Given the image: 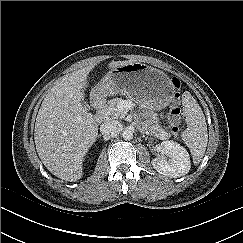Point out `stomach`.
<instances>
[{
    "mask_svg": "<svg viewBox=\"0 0 243 243\" xmlns=\"http://www.w3.org/2000/svg\"><path fill=\"white\" fill-rule=\"evenodd\" d=\"M99 96L122 94L137 104L161 110L172 101L174 87L159 69L131 62L110 69L95 89Z\"/></svg>",
    "mask_w": 243,
    "mask_h": 243,
    "instance_id": "stomach-1",
    "label": "stomach"
}]
</instances>
